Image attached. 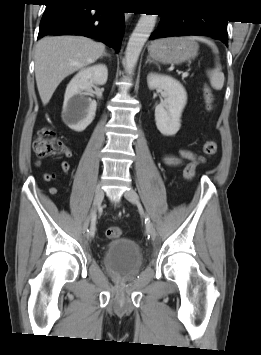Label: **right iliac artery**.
Masks as SVG:
<instances>
[{
    "label": "right iliac artery",
    "instance_id": "82829eb1",
    "mask_svg": "<svg viewBox=\"0 0 261 355\" xmlns=\"http://www.w3.org/2000/svg\"><path fill=\"white\" fill-rule=\"evenodd\" d=\"M95 222H96V213L92 214L91 226L90 229L87 230L91 236H94L95 233Z\"/></svg>",
    "mask_w": 261,
    "mask_h": 355
}]
</instances>
